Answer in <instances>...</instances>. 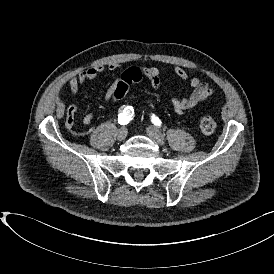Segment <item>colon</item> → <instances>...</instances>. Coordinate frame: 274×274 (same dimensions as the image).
Returning <instances> with one entry per match:
<instances>
[{
	"label": "colon",
	"mask_w": 274,
	"mask_h": 274,
	"mask_svg": "<svg viewBox=\"0 0 274 274\" xmlns=\"http://www.w3.org/2000/svg\"><path fill=\"white\" fill-rule=\"evenodd\" d=\"M143 80V72L137 67H130L121 74V79L117 82L115 88V95L117 97H124L128 88L134 86L136 83ZM73 124V117L69 115L66 120V126L71 128ZM215 121L211 117H203L199 122L200 131L204 135H210L215 131Z\"/></svg>",
	"instance_id": "5ec220e1"
}]
</instances>
